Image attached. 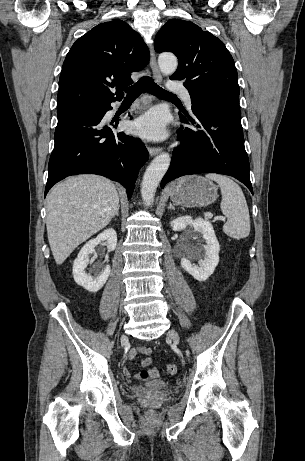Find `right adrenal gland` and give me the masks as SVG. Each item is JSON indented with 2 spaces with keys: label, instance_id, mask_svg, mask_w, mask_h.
<instances>
[{
  "label": "right adrenal gland",
  "instance_id": "obj_1",
  "mask_svg": "<svg viewBox=\"0 0 305 461\" xmlns=\"http://www.w3.org/2000/svg\"><path fill=\"white\" fill-rule=\"evenodd\" d=\"M119 208H120V205L117 206L116 211L112 217L113 219H115L116 216L119 217Z\"/></svg>",
  "mask_w": 305,
  "mask_h": 461
}]
</instances>
